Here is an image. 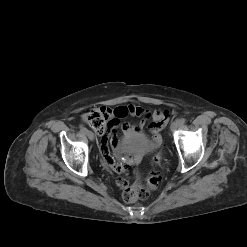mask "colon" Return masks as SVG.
<instances>
[{"label":"colon","instance_id":"5ec220e1","mask_svg":"<svg viewBox=\"0 0 247 247\" xmlns=\"http://www.w3.org/2000/svg\"><path fill=\"white\" fill-rule=\"evenodd\" d=\"M84 121L96 132L103 134L108 128V118L103 109H91L85 112L83 116ZM159 159L155 158V163H158ZM130 175L134 174V168L130 167L127 170ZM160 176L156 173H151L146 179V186L141 183H135L134 185L127 187L122 194L124 201L134 202L138 199H145L148 197L151 190L158 187L160 183Z\"/></svg>","mask_w":247,"mask_h":247}]
</instances>
